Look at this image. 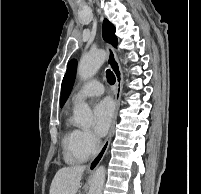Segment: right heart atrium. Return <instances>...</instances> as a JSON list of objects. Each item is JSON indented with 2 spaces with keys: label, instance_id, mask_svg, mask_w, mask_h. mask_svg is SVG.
I'll use <instances>...</instances> for the list:
<instances>
[{
  "label": "right heart atrium",
  "instance_id": "obj_1",
  "mask_svg": "<svg viewBox=\"0 0 201 194\" xmlns=\"http://www.w3.org/2000/svg\"><path fill=\"white\" fill-rule=\"evenodd\" d=\"M78 144L81 149L92 153L98 146V139L89 130H79Z\"/></svg>",
  "mask_w": 201,
  "mask_h": 194
}]
</instances>
